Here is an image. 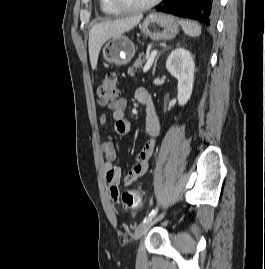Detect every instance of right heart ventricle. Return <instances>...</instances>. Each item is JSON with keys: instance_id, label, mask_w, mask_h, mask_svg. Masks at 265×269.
<instances>
[{"instance_id": "right-heart-ventricle-1", "label": "right heart ventricle", "mask_w": 265, "mask_h": 269, "mask_svg": "<svg viewBox=\"0 0 265 269\" xmlns=\"http://www.w3.org/2000/svg\"><path fill=\"white\" fill-rule=\"evenodd\" d=\"M99 6L103 13L117 15L121 13L111 2V0H99Z\"/></svg>"}]
</instances>
